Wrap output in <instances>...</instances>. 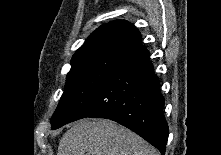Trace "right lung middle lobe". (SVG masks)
I'll return each instance as SVG.
<instances>
[{"label":"right lung middle lobe","mask_w":221,"mask_h":155,"mask_svg":"<svg viewBox=\"0 0 221 155\" xmlns=\"http://www.w3.org/2000/svg\"><path fill=\"white\" fill-rule=\"evenodd\" d=\"M123 58L115 54H102L72 62L65 91L51 119L52 129L80 119L113 67Z\"/></svg>","instance_id":"obj_1"}]
</instances>
